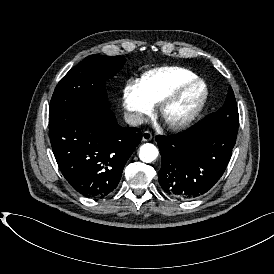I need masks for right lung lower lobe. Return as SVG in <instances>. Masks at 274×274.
<instances>
[{"label": "right lung lower lobe", "instance_id": "right-lung-lower-lobe-1", "mask_svg": "<svg viewBox=\"0 0 274 274\" xmlns=\"http://www.w3.org/2000/svg\"><path fill=\"white\" fill-rule=\"evenodd\" d=\"M49 136L64 178L77 192L95 199L115 190L142 138L139 128L121 127L106 106L80 109L49 121Z\"/></svg>", "mask_w": 274, "mask_h": 274}]
</instances>
